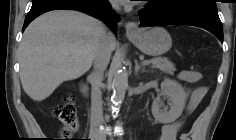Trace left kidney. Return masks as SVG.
Instances as JSON below:
<instances>
[{
  "mask_svg": "<svg viewBox=\"0 0 236 140\" xmlns=\"http://www.w3.org/2000/svg\"><path fill=\"white\" fill-rule=\"evenodd\" d=\"M161 97L168 99L169 111L165 108L161 109L163 107ZM187 97V93L178 82L165 79L161 83V94L152 103V114L155 120L163 124L174 122L182 114Z\"/></svg>",
  "mask_w": 236,
  "mask_h": 140,
  "instance_id": "obj_1",
  "label": "left kidney"
}]
</instances>
